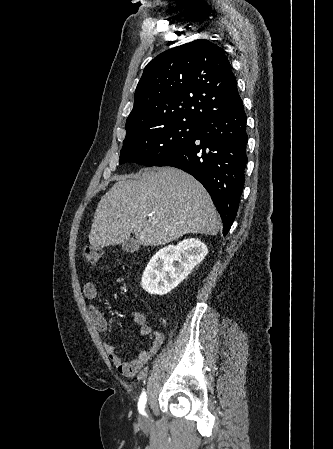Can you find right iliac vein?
Returning <instances> with one entry per match:
<instances>
[{"mask_svg": "<svg viewBox=\"0 0 333 449\" xmlns=\"http://www.w3.org/2000/svg\"><path fill=\"white\" fill-rule=\"evenodd\" d=\"M139 423L140 425L144 426L148 424V418L145 415H142L139 417Z\"/></svg>", "mask_w": 333, "mask_h": 449, "instance_id": "1", "label": "right iliac vein"}]
</instances>
